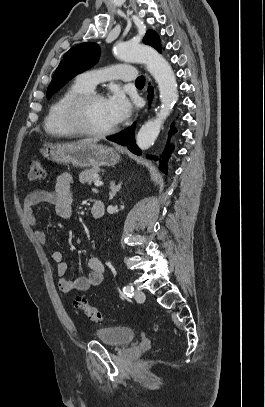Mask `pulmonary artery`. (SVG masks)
I'll use <instances>...</instances> for the list:
<instances>
[{"label":"pulmonary artery","mask_w":265,"mask_h":407,"mask_svg":"<svg viewBox=\"0 0 265 407\" xmlns=\"http://www.w3.org/2000/svg\"><path fill=\"white\" fill-rule=\"evenodd\" d=\"M136 72L131 65H113L103 69L83 72L76 77V81L87 89H93L98 83L106 80L133 81Z\"/></svg>","instance_id":"e3ab8cb5"}]
</instances>
